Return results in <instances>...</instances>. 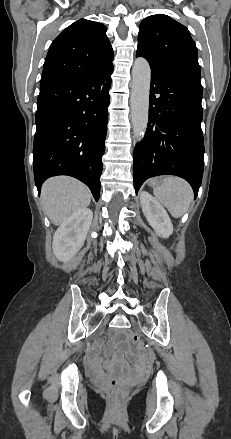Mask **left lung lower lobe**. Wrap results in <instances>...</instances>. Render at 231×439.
Instances as JSON below:
<instances>
[{
    "label": "left lung lower lobe",
    "mask_w": 231,
    "mask_h": 439,
    "mask_svg": "<svg viewBox=\"0 0 231 439\" xmlns=\"http://www.w3.org/2000/svg\"><path fill=\"white\" fill-rule=\"evenodd\" d=\"M150 88L148 127L133 154L135 191L170 174L187 180L196 197L204 169L201 77L151 68Z\"/></svg>",
    "instance_id": "obj_1"
}]
</instances>
